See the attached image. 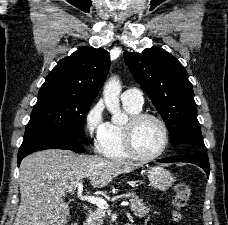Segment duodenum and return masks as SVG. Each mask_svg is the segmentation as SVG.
Instances as JSON below:
<instances>
[{
  "instance_id": "410a0bca",
  "label": "duodenum",
  "mask_w": 228,
  "mask_h": 225,
  "mask_svg": "<svg viewBox=\"0 0 228 225\" xmlns=\"http://www.w3.org/2000/svg\"><path fill=\"white\" fill-rule=\"evenodd\" d=\"M72 225H79V222L77 221V219H75L72 223Z\"/></svg>"
}]
</instances>
